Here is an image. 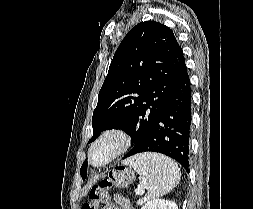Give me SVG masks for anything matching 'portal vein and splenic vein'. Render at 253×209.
Returning <instances> with one entry per match:
<instances>
[{"instance_id":"18ae733b","label":"portal vein and splenic vein","mask_w":253,"mask_h":209,"mask_svg":"<svg viewBox=\"0 0 253 209\" xmlns=\"http://www.w3.org/2000/svg\"><path fill=\"white\" fill-rule=\"evenodd\" d=\"M135 192L137 195H142L144 193V190L142 188H137Z\"/></svg>"}]
</instances>
